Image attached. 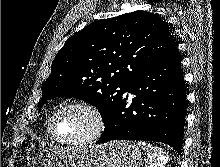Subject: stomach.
Returning a JSON list of instances; mask_svg holds the SVG:
<instances>
[{
  "mask_svg": "<svg viewBox=\"0 0 220 167\" xmlns=\"http://www.w3.org/2000/svg\"><path fill=\"white\" fill-rule=\"evenodd\" d=\"M29 167H139L141 150L130 141L84 148H56L33 144L27 150Z\"/></svg>",
  "mask_w": 220,
  "mask_h": 167,
  "instance_id": "stomach-1",
  "label": "stomach"
}]
</instances>
